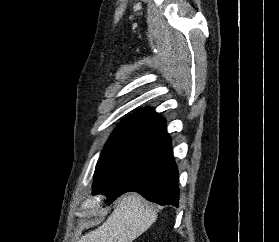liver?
Here are the masks:
<instances>
[{
  "mask_svg": "<svg viewBox=\"0 0 279 242\" xmlns=\"http://www.w3.org/2000/svg\"><path fill=\"white\" fill-rule=\"evenodd\" d=\"M157 219L152 206L138 194L124 196L108 219L78 242H132Z\"/></svg>",
  "mask_w": 279,
  "mask_h": 242,
  "instance_id": "6515ba94",
  "label": "liver"
}]
</instances>
